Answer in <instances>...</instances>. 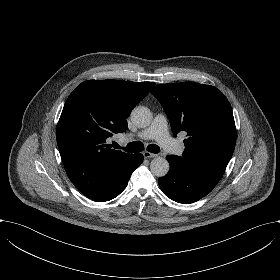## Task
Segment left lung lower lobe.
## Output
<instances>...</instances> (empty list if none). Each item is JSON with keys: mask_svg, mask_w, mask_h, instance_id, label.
<instances>
[{"mask_svg": "<svg viewBox=\"0 0 280 280\" xmlns=\"http://www.w3.org/2000/svg\"><path fill=\"white\" fill-rule=\"evenodd\" d=\"M170 170L158 179L163 193L170 199L189 204L206 196L219 182L224 171L202 164L186 163L180 156L168 155Z\"/></svg>", "mask_w": 280, "mask_h": 280, "instance_id": "left-lung-lower-lobe-1", "label": "left lung lower lobe"}]
</instances>
